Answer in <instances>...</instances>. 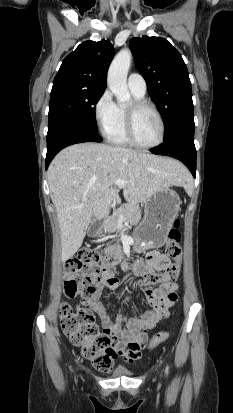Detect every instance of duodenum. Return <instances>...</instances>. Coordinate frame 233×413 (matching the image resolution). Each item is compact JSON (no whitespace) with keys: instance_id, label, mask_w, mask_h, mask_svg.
I'll use <instances>...</instances> for the list:
<instances>
[{"instance_id":"obj_1","label":"duodenum","mask_w":233,"mask_h":413,"mask_svg":"<svg viewBox=\"0 0 233 413\" xmlns=\"http://www.w3.org/2000/svg\"><path fill=\"white\" fill-rule=\"evenodd\" d=\"M101 226H102V222H97V223H95V224L92 226V228H91V230H90V233H91L92 235L97 234V232L99 231V229L101 228ZM115 252H116V249L111 250V252H110L111 256H110V257H115V256H114V253H115Z\"/></svg>"}]
</instances>
